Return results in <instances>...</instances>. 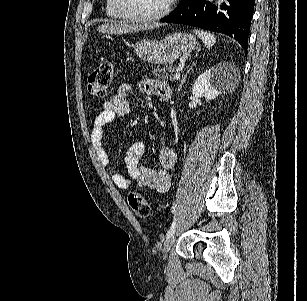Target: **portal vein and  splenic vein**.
Masks as SVG:
<instances>
[{"label":"portal vein and splenic vein","instance_id":"obj_1","mask_svg":"<svg viewBox=\"0 0 307 301\" xmlns=\"http://www.w3.org/2000/svg\"><path fill=\"white\" fill-rule=\"evenodd\" d=\"M175 76L176 78H180V72H176Z\"/></svg>","mask_w":307,"mask_h":301}]
</instances>
